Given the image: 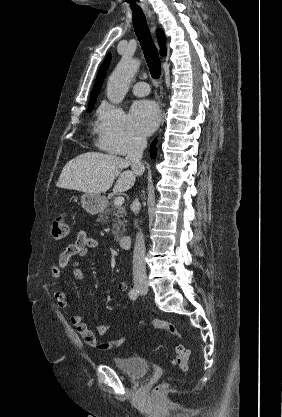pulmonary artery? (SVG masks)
Returning a JSON list of instances; mask_svg holds the SVG:
<instances>
[{
  "label": "pulmonary artery",
  "mask_w": 282,
  "mask_h": 417,
  "mask_svg": "<svg viewBox=\"0 0 282 417\" xmlns=\"http://www.w3.org/2000/svg\"><path fill=\"white\" fill-rule=\"evenodd\" d=\"M150 91L149 85L146 82H138L132 86V92L136 96H146Z\"/></svg>",
  "instance_id": "1"
}]
</instances>
